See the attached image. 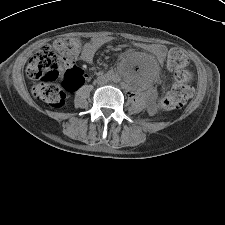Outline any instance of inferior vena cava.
Listing matches in <instances>:
<instances>
[{
    "mask_svg": "<svg viewBox=\"0 0 225 225\" xmlns=\"http://www.w3.org/2000/svg\"><path fill=\"white\" fill-rule=\"evenodd\" d=\"M97 83L99 85H104L107 83V79L105 77H99V79L97 80Z\"/></svg>",
    "mask_w": 225,
    "mask_h": 225,
    "instance_id": "inferior-vena-cava-1",
    "label": "inferior vena cava"
}]
</instances>
